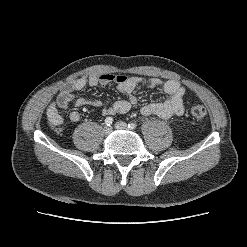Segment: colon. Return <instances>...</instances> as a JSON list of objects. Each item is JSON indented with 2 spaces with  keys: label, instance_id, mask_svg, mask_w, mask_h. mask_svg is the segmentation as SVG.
<instances>
[{
  "label": "colon",
  "instance_id": "colon-1",
  "mask_svg": "<svg viewBox=\"0 0 247 247\" xmlns=\"http://www.w3.org/2000/svg\"><path fill=\"white\" fill-rule=\"evenodd\" d=\"M190 117L195 121H201L206 116V109L203 105L194 104L189 109Z\"/></svg>",
  "mask_w": 247,
  "mask_h": 247
}]
</instances>
